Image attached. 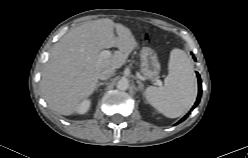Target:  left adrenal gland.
<instances>
[{
    "instance_id": "left-adrenal-gland-1",
    "label": "left adrenal gland",
    "mask_w": 248,
    "mask_h": 158,
    "mask_svg": "<svg viewBox=\"0 0 248 158\" xmlns=\"http://www.w3.org/2000/svg\"><path fill=\"white\" fill-rule=\"evenodd\" d=\"M136 82L138 84L137 90L143 92V89H144L143 83L140 80H138V79L136 80ZM143 95H144V93H143Z\"/></svg>"
}]
</instances>
